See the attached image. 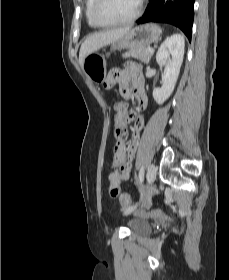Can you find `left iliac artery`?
<instances>
[{"label": "left iliac artery", "mask_w": 229, "mask_h": 280, "mask_svg": "<svg viewBox=\"0 0 229 280\" xmlns=\"http://www.w3.org/2000/svg\"><path fill=\"white\" fill-rule=\"evenodd\" d=\"M143 179H144V167L142 166L140 171H139V184H142L143 182Z\"/></svg>", "instance_id": "left-iliac-artery-1"}]
</instances>
